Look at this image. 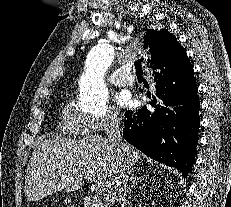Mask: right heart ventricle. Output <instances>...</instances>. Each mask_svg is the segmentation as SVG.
Listing matches in <instances>:
<instances>
[{
  "mask_svg": "<svg viewBox=\"0 0 231 207\" xmlns=\"http://www.w3.org/2000/svg\"><path fill=\"white\" fill-rule=\"evenodd\" d=\"M60 130L72 137H84L90 132L87 116L72 101L66 102L61 110Z\"/></svg>",
  "mask_w": 231,
  "mask_h": 207,
  "instance_id": "e07e8e85",
  "label": "right heart ventricle"
}]
</instances>
